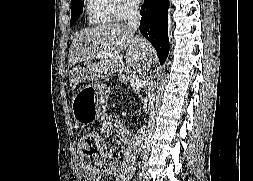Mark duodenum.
<instances>
[{
	"label": "duodenum",
	"mask_w": 253,
	"mask_h": 181,
	"mask_svg": "<svg viewBox=\"0 0 253 181\" xmlns=\"http://www.w3.org/2000/svg\"><path fill=\"white\" fill-rule=\"evenodd\" d=\"M145 133H146V131L144 130V131L141 132V135L144 136Z\"/></svg>",
	"instance_id": "410a0bca"
}]
</instances>
